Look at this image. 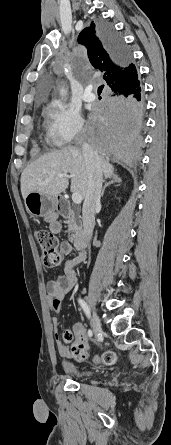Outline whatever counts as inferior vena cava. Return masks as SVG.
Wrapping results in <instances>:
<instances>
[{
    "instance_id": "obj_1",
    "label": "inferior vena cava",
    "mask_w": 171,
    "mask_h": 445,
    "mask_svg": "<svg viewBox=\"0 0 171 445\" xmlns=\"http://www.w3.org/2000/svg\"><path fill=\"white\" fill-rule=\"evenodd\" d=\"M82 152L88 171V187L82 210L85 243L87 245L91 240L95 226L96 209L100 207L103 173L99 155L86 142L82 145Z\"/></svg>"
}]
</instances>
